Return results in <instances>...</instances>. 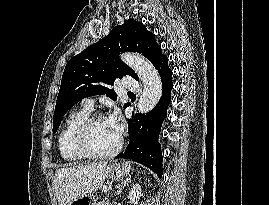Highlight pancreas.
I'll list each match as a JSON object with an SVG mask.
<instances>
[{
    "label": "pancreas",
    "mask_w": 269,
    "mask_h": 205,
    "mask_svg": "<svg viewBox=\"0 0 269 205\" xmlns=\"http://www.w3.org/2000/svg\"><path fill=\"white\" fill-rule=\"evenodd\" d=\"M95 205H110L109 202L105 199L102 200L101 202L96 203Z\"/></svg>",
    "instance_id": "1"
}]
</instances>
